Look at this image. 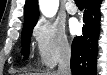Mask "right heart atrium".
I'll use <instances>...</instances> for the list:
<instances>
[{"label": "right heart atrium", "instance_id": "d8ad5b80", "mask_svg": "<svg viewBox=\"0 0 107 75\" xmlns=\"http://www.w3.org/2000/svg\"><path fill=\"white\" fill-rule=\"evenodd\" d=\"M32 36L38 59L43 66L54 67L61 59L69 56L70 42L60 24L41 18L35 23Z\"/></svg>", "mask_w": 107, "mask_h": 75}]
</instances>
